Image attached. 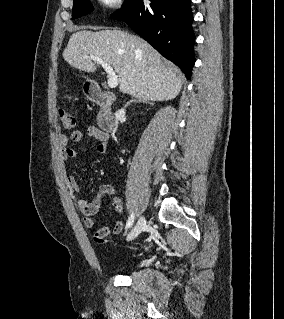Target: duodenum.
I'll list each match as a JSON object with an SVG mask.
<instances>
[{"label":"duodenum","mask_w":284,"mask_h":319,"mask_svg":"<svg viewBox=\"0 0 284 319\" xmlns=\"http://www.w3.org/2000/svg\"><path fill=\"white\" fill-rule=\"evenodd\" d=\"M86 93L88 98L99 108L97 114L98 126L104 132H112L115 128L114 117L111 111L114 95L110 92L102 91L96 86H90Z\"/></svg>","instance_id":"410a0bca"}]
</instances>
